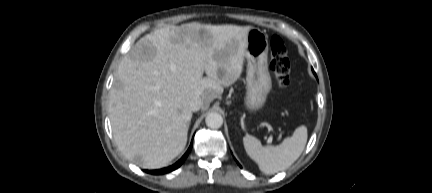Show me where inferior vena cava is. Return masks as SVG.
I'll use <instances>...</instances> for the list:
<instances>
[{"label": "inferior vena cava", "mask_w": 432, "mask_h": 193, "mask_svg": "<svg viewBox=\"0 0 432 193\" xmlns=\"http://www.w3.org/2000/svg\"><path fill=\"white\" fill-rule=\"evenodd\" d=\"M203 105V101L199 96H195L192 98L191 102H190V109L191 111H198L202 108Z\"/></svg>", "instance_id": "1"}]
</instances>
